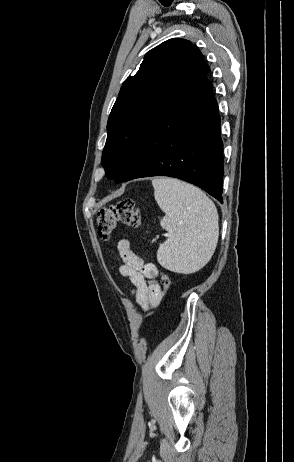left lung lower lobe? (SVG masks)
Segmentation results:
<instances>
[{
  "mask_svg": "<svg viewBox=\"0 0 294 462\" xmlns=\"http://www.w3.org/2000/svg\"><path fill=\"white\" fill-rule=\"evenodd\" d=\"M223 144L213 86L190 82L160 108L123 161L115 182L170 176L190 182L222 201Z\"/></svg>",
  "mask_w": 294,
  "mask_h": 462,
  "instance_id": "0a47b994",
  "label": "left lung lower lobe"
}]
</instances>
